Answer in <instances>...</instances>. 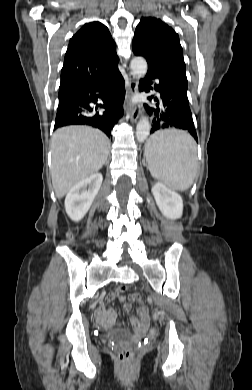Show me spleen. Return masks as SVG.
Instances as JSON below:
<instances>
[{"label": "spleen", "mask_w": 252, "mask_h": 390, "mask_svg": "<svg viewBox=\"0 0 252 390\" xmlns=\"http://www.w3.org/2000/svg\"><path fill=\"white\" fill-rule=\"evenodd\" d=\"M144 156L151 175L169 188L185 191L192 185L197 169V149L194 139L186 132H156L148 140Z\"/></svg>", "instance_id": "spleen-1"}]
</instances>
